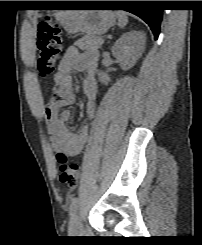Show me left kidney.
Returning a JSON list of instances; mask_svg holds the SVG:
<instances>
[{"instance_id": "5707ae66", "label": "left kidney", "mask_w": 202, "mask_h": 245, "mask_svg": "<svg viewBox=\"0 0 202 245\" xmlns=\"http://www.w3.org/2000/svg\"><path fill=\"white\" fill-rule=\"evenodd\" d=\"M146 35L141 31H130L123 34L112 47L113 56L119 61L123 70L130 69L142 56L145 50ZM99 80L108 84L110 78L106 73L99 74Z\"/></svg>"}]
</instances>
